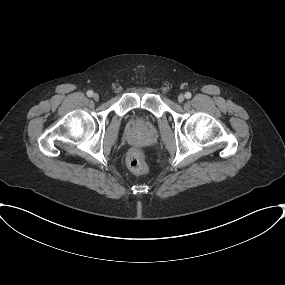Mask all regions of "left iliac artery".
<instances>
[{
    "instance_id": "obj_1",
    "label": "left iliac artery",
    "mask_w": 285,
    "mask_h": 285,
    "mask_svg": "<svg viewBox=\"0 0 285 285\" xmlns=\"http://www.w3.org/2000/svg\"><path fill=\"white\" fill-rule=\"evenodd\" d=\"M185 97H186L187 99H190V98L192 97V94H191L190 92H186V93H185Z\"/></svg>"
}]
</instances>
